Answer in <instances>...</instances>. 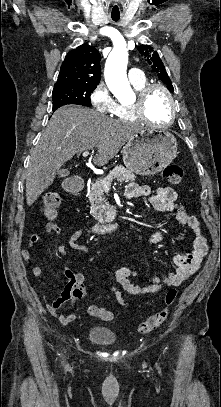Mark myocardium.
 I'll use <instances>...</instances> for the list:
<instances>
[{"instance_id":"myocardium-1","label":"myocardium","mask_w":221,"mask_h":407,"mask_svg":"<svg viewBox=\"0 0 221 407\" xmlns=\"http://www.w3.org/2000/svg\"><path fill=\"white\" fill-rule=\"evenodd\" d=\"M155 90L162 91L166 95V97L170 103V106H171V115H170L169 121L166 124L159 125V126L155 125L148 118L146 111H145L147 100H148L150 94ZM132 107H133L134 115L136 116L137 120H139L145 124L157 127L159 129L169 128L170 126L173 125L175 118H176V112H177L176 102H175L171 92L165 86H163L161 84L154 83V84H148L145 87H143L140 91H138L135 101L132 104Z\"/></svg>"}]
</instances>
